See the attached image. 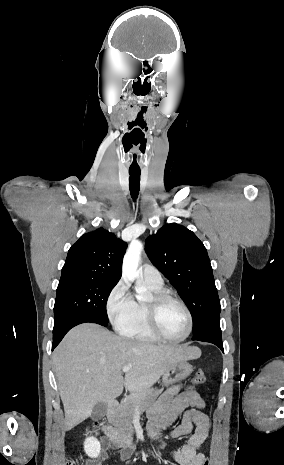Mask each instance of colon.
<instances>
[{
    "mask_svg": "<svg viewBox=\"0 0 284 465\" xmlns=\"http://www.w3.org/2000/svg\"><path fill=\"white\" fill-rule=\"evenodd\" d=\"M193 381L196 384H203L206 381V376L203 371H197L194 374ZM95 430H90L86 432V434H94ZM69 465H78V462L76 460H73L69 463ZM203 465H208V462H203Z\"/></svg>",
    "mask_w": 284,
    "mask_h": 465,
    "instance_id": "colon-1",
    "label": "colon"
}]
</instances>
